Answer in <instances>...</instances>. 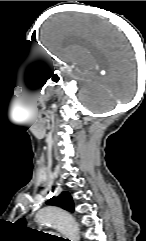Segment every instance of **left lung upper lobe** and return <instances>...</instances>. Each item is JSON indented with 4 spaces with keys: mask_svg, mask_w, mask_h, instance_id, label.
<instances>
[{
    "mask_svg": "<svg viewBox=\"0 0 146 241\" xmlns=\"http://www.w3.org/2000/svg\"><path fill=\"white\" fill-rule=\"evenodd\" d=\"M48 204L51 205H57L61 208L73 211L74 210V204L71 195L68 192H62L58 197L51 198L48 202ZM22 225L26 224V221L24 218L19 220Z\"/></svg>",
    "mask_w": 146,
    "mask_h": 241,
    "instance_id": "1",
    "label": "left lung upper lobe"
}]
</instances>
